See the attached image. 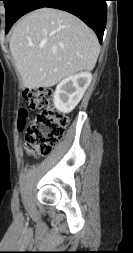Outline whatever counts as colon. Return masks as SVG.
<instances>
[{"label": "colon", "mask_w": 133, "mask_h": 253, "mask_svg": "<svg viewBox=\"0 0 133 253\" xmlns=\"http://www.w3.org/2000/svg\"><path fill=\"white\" fill-rule=\"evenodd\" d=\"M22 96L31 109L38 111L27 125L26 150L29 154L46 156L62 139L68 124V116L55 109L50 90L44 88L26 89ZM26 116V110H21L20 128L26 126Z\"/></svg>", "instance_id": "1"}]
</instances>
